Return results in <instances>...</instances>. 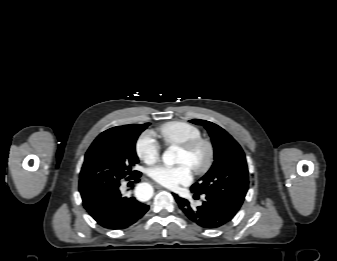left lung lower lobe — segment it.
I'll list each match as a JSON object with an SVG mask.
<instances>
[{
  "label": "left lung lower lobe",
  "mask_w": 337,
  "mask_h": 261,
  "mask_svg": "<svg viewBox=\"0 0 337 261\" xmlns=\"http://www.w3.org/2000/svg\"><path fill=\"white\" fill-rule=\"evenodd\" d=\"M204 196L202 205L193 208L188 200L174 194L175 200L185 216L202 228L216 229L222 227L236 215L237 212L224 202L208 195Z\"/></svg>",
  "instance_id": "0a47b994"
}]
</instances>
